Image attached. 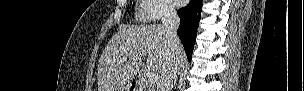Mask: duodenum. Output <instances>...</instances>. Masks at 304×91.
<instances>
[{
	"label": "duodenum",
	"instance_id": "1",
	"mask_svg": "<svg viewBox=\"0 0 304 91\" xmlns=\"http://www.w3.org/2000/svg\"><path fill=\"white\" fill-rule=\"evenodd\" d=\"M131 91H148L141 83L139 82H132L130 85Z\"/></svg>",
	"mask_w": 304,
	"mask_h": 91
}]
</instances>
